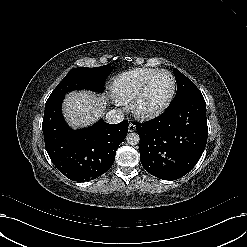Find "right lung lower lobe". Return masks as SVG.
Wrapping results in <instances>:
<instances>
[{
	"label": "right lung lower lobe",
	"instance_id": "98d812e1",
	"mask_svg": "<svg viewBox=\"0 0 247 247\" xmlns=\"http://www.w3.org/2000/svg\"><path fill=\"white\" fill-rule=\"evenodd\" d=\"M63 98L48 99L45 104L42 129L47 153L56 168L70 180H93L113 165L129 123L124 120L108 124L101 120L88 128L72 130L62 116Z\"/></svg>",
	"mask_w": 247,
	"mask_h": 247
}]
</instances>
